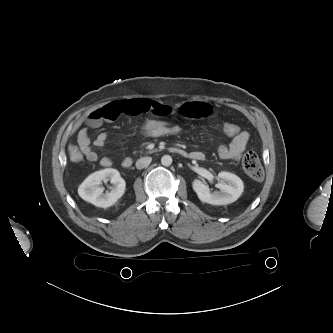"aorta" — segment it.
Here are the masks:
<instances>
[{"instance_id":"obj_1","label":"aorta","mask_w":333,"mask_h":333,"mask_svg":"<svg viewBox=\"0 0 333 333\" xmlns=\"http://www.w3.org/2000/svg\"><path fill=\"white\" fill-rule=\"evenodd\" d=\"M161 163L163 166H170L172 164V157L170 155H164L162 158H161Z\"/></svg>"}]
</instances>
